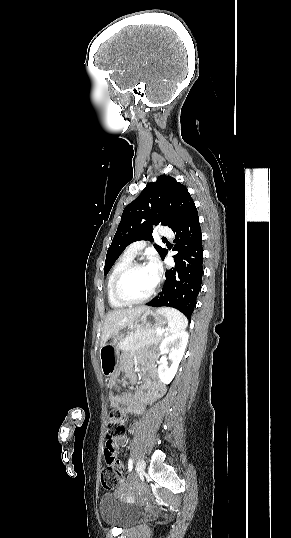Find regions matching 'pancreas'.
Returning <instances> with one entry per match:
<instances>
[{
  "instance_id": "pancreas-1",
  "label": "pancreas",
  "mask_w": 291,
  "mask_h": 538,
  "mask_svg": "<svg viewBox=\"0 0 291 538\" xmlns=\"http://www.w3.org/2000/svg\"><path fill=\"white\" fill-rule=\"evenodd\" d=\"M165 335L159 334L157 330H138L126 336L119 342L118 347L122 351H136L146 345L159 344Z\"/></svg>"
}]
</instances>
